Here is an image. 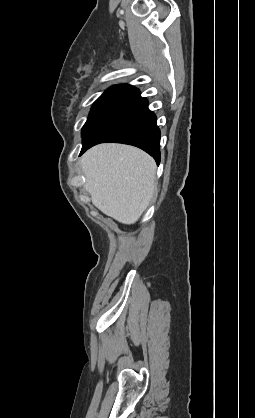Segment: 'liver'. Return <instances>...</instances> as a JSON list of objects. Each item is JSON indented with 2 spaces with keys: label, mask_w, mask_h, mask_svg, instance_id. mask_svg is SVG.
<instances>
[{
  "label": "liver",
  "mask_w": 255,
  "mask_h": 418,
  "mask_svg": "<svg viewBox=\"0 0 255 418\" xmlns=\"http://www.w3.org/2000/svg\"><path fill=\"white\" fill-rule=\"evenodd\" d=\"M81 168L92 203L123 224L135 223L154 194L155 161L136 147L97 145L83 155Z\"/></svg>",
  "instance_id": "6515ba94"
}]
</instances>
